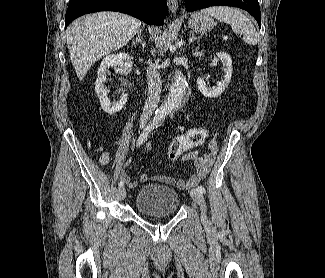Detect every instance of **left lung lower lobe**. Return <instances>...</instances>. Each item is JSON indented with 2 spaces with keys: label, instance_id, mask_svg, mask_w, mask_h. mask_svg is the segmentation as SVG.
<instances>
[{
  "label": "left lung lower lobe",
  "instance_id": "1",
  "mask_svg": "<svg viewBox=\"0 0 325 278\" xmlns=\"http://www.w3.org/2000/svg\"><path fill=\"white\" fill-rule=\"evenodd\" d=\"M228 5L248 11L261 26V12L258 0H186L185 11L192 12L210 6Z\"/></svg>",
  "mask_w": 325,
  "mask_h": 278
}]
</instances>
